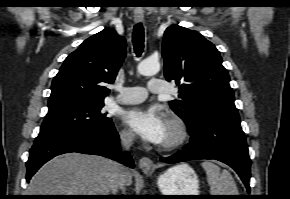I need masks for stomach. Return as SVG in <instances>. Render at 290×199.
<instances>
[{"mask_svg":"<svg viewBox=\"0 0 290 199\" xmlns=\"http://www.w3.org/2000/svg\"><path fill=\"white\" fill-rule=\"evenodd\" d=\"M158 186L163 195H198L199 192L198 176L187 164L177 165L160 175Z\"/></svg>","mask_w":290,"mask_h":199,"instance_id":"0dacf381","label":"stomach"}]
</instances>
